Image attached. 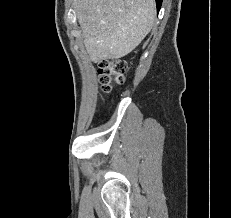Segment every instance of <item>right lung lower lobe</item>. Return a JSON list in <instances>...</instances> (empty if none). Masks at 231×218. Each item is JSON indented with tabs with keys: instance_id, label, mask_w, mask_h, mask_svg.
Here are the masks:
<instances>
[{
	"instance_id": "98d812e1",
	"label": "right lung lower lobe",
	"mask_w": 231,
	"mask_h": 218,
	"mask_svg": "<svg viewBox=\"0 0 231 218\" xmlns=\"http://www.w3.org/2000/svg\"><path fill=\"white\" fill-rule=\"evenodd\" d=\"M155 1H156V6H157V11H159L161 4H162V0H155Z\"/></svg>"
}]
</instances>
